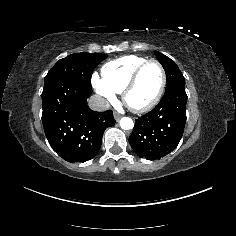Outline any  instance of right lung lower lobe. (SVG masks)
<instances>
[{"mask_svg": "<svg viewBox=\"0 0 236 236\" xmlns=\"http://www.w3.org/2000/svg\"><path fill=\"white\" fill-rule=\"evenodd\" d=\"M92 89L72 80H57L42 92V123L50 146L64 160L86 162L98 153L105 129L115 124L112 111H92Z\"/></svg>", "mask_w": 236, "mask_h": 236, "instance_id": "right-lung-lower-lobe-1", "label": "right lung lower lobe"}]
</instances>
